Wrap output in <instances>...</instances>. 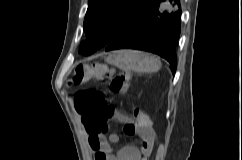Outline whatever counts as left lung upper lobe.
<instances>
[{
    "label": "left lung upper lobe",
    "instance_id": "1",
    "mask_svg": "<svg viewBox=\"0 0 242 160\" xmlns=\"http://www.w3.org/2000/svg\"><path fill=\"white\" fill-rule=\"evenodd\" d=\"M151 0H89L84 20L88 37L83 53L90 55L106 47L140 15Z\"/></svg>",
    "mask_w": 242,
    "mask_h": 160
}]
</instances>
